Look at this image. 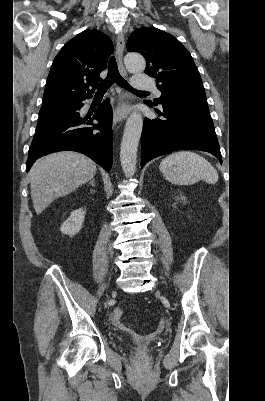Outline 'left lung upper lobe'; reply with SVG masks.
I'll return each instance as SVG.
<instances>
[{
    "mask_svg": "<svg viewBox=\"0 0 265 401\" xmlns=\"http://www.w3.org/2000/svg\"><path fill=\"white\" fill-rule=\"evenodd\" d=\"M127 50L141 53L146 59L145 73L156 78L162 94L154 104L206 100L198 69L188 50L174 36L155 27H143L131 34Z\"/></svg>",
    "mask_w": 265,
    "mask_h": 401,
    "instance_id": "left-lung-upper-lobe-1",
    "label": "left lung upper lobe"
}]
</instances>
